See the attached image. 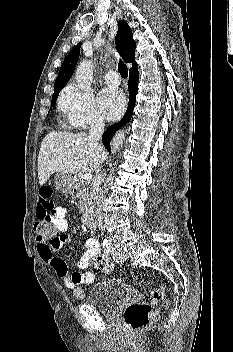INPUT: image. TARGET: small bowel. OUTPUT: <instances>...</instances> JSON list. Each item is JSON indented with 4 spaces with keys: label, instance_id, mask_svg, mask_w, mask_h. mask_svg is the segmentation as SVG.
<instances>
[{
    "label": "small bowel",
    "instance_id": "1",
    "mask_svg": "<svg viewBox=\"0 0 233 352\" xmlns=\"http://www.w3.org/2000/svg\"><path fill=\"white\" fill-rule=\"evenodd\" d=\"M54 191L51 186H42L38 191V204H37V219H47L51 222L56 232L58 233L59 239L52 241H42L37 238V250L41 259L48 263L57 273V275L65 283L66 287L74 290L76 283L73 281L74 275L81 277L80 283L91 284L95 275L91 271L80 273L74 271L70 273L65 261L56 256L55 252L60 250L63 245L67 242L66 231L68 230L67 208L63 206H56L53 198ZM85 229V227H84ZM86 250L82 253L76 268L79 270L85 269L89 265V257L97 255L100 252L99 242L94 238H88L85 243Z\"/></svg>",
    "mask_w": 233,
    "mask_h": 352
}]
</instances>
